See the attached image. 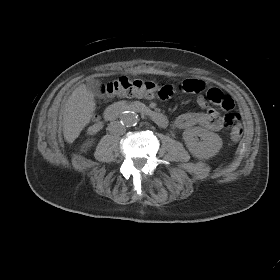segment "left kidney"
Instances as JSON below:
<instances>
[{
	"label": "left kidney",
	"mask_w": 280,
	"mask_h": 280,
	"mask_svg": "<svg viewBox=\"0 0 280 280\" xmlns=\"http://www.w3.org/2000/svg\"><path fill=\"white\" fill-rule=\"evenodd\" d=\"M197 136L201 137L202 141H198ZM183 138L190 153L202 159L213 157L222 147V139L218 134L201 127L185 130Z\"/></svg>",
	"instance_id": "5707ae66"
}]
</instances>
